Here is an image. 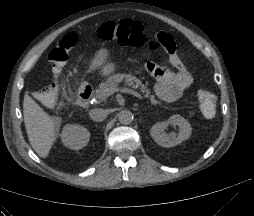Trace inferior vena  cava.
Wrapping results in <instances>:
<instances>
[{"mask_svg": "<svg viewBox=\"0 0 254 216\" xmlns=\"http://www.w3.org/2000/svg\"><path fill=\"white\" fill-rule=\"evenodd\" d=\"M89 115L92 120L100 122V121H103L107 117L108 112H107V110L96 108V109L91 110L89 112Z\"/></svg>", "mask_w": 254, "mask_h": 216, "instance_id": "1", "label": "inferior vena cava"}]
</instances>
